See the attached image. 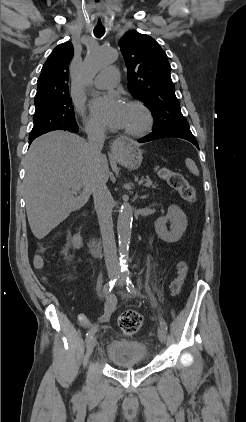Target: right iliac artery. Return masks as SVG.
<instances>
[{"label": "right iliac artery", "mask_w": 246, "mask_h": 422, "mask_svg": "<svg viewBox=\"0 0 246 422\" xmlns=\"http://www.w3.org/2000/svg\"><path fill=\"white\" fill-rule=\"evenodd\" d=\"M121 272H123V270H121ZM118 277H119V275H118ZM116 280H117V278H115V279H113V280L109 281L108 283H106V284L104 285V287H103V293H104L105 295H107V294H109V293L111 292V290H112V289H113V287H114V284H115ZM96 330H97V327H96V326H94V327H92V328H91V329L87 332V334H86V342H88V341H89V340L93 337V335L95 334Z\"/></svg>", "instance_id": "82829eb1"}]
</instances>
